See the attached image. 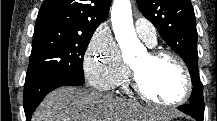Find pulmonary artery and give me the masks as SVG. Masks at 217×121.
Returning a JSON list of instances; mask_svg holds the SVG:
<instances>
[{
    "label": "pulmonary artery",
    "instance_id": "obj_1",
    "mask_svg": "<svg viewBox=\"0 0 217 121\" xmlns=\"http://www.w3.org/2000/svg\"><path fill=\"white\" fill-rule=\"evenodd\" d=\"M135 30L138 36L148 45H155L157 32L154 25L150 21L144 18H137L135 20Z\"/></svg>",
    "mask_w": 217,
    "mask_h": 121
}]
</instances>
